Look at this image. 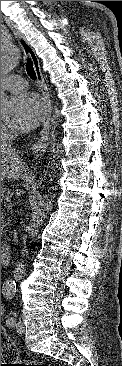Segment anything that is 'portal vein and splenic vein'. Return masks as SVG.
Here are the masks:
<instances>
[{"mask_svg":"<svg viewBox=\"0 0 122 366\" xmlns=\"http://www.w3.org/2000/svg\"><path fill=\"white\" fill-rule=\"evenodd\" d=\"M6 201H7V202L9 201V198H8V197H6Z\"/></svg>","mask_w":122,"mask_h":366,"instance_id":"obj_1","label":"portal vein and splenic vein"}]
</instances>
